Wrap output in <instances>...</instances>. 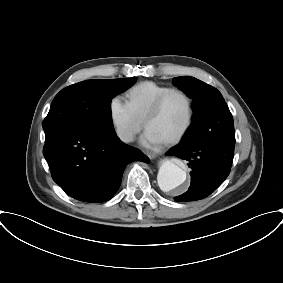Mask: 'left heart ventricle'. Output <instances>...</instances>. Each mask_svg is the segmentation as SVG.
I'll return each mask as SVG.
<instances>
[{
	"instance_id": "b2bd125f",
	"label": "left heart ventricle",
	"mask_w": 283,
	"mask_h": 283,
	"mask_svg": "<svg viewBox=\"0 0 283 283\" xmlns=\"http://www.w3.org/2000/svg\"><path fill=\"white\" fill-rule=\"evenodd\" d=\"M186 118L187 104L185 98L178 93H173L168 96L160 112L149 121L147 130L165 141L180 131Z\"/></svg>"
}]
</instances>
